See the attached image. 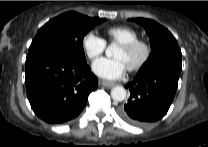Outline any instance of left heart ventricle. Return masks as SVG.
<instances>
[{
	"label": "left heart ventricle",
	"instance_id": "left-heart-ventricle-1",
	"mask_svg": "<svg viewBox=\"0 0 208 147\" xmlns=\"http://www.w3.org/2000/svg\"><path fill=\"white\" fill-rule=\"evenodd\" d=\"M142 54L143 50L141 48L130 51L118 46L114 51V57L122 59L128 68L136 64L142 57Z\"/></svg>",
	"mask_w": 208,
	"mask_h": 147
}]
</instances>
